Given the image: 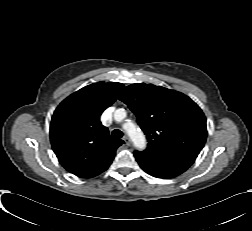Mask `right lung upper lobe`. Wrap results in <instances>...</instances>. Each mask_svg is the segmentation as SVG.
Returning a JSON list of instances; mask_svg holds the SVG:
<instances>
[{"mask_svg": "<svg viewBox=\"0 0 252 231\" xmlns=\"http://www.w3.org/2000/svg\"><path fill=\"white\" fill-rule=\"evenodd\" d=\"M124 87L121 83H93L71 94L56 108L50 125L52 148L69 172L92 178L112 163L116 149L124 143L110 137L100 122Z\"/></svg>", "mask_w": 252, "mask_h": 231, "instance_id": "obj_1", "label": "right lung upper lobe"}]
</instances>
